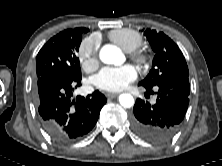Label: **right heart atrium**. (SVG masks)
Here are the masks:
<instances>
[{
  "instance_id": "1",
  "label": "right heart atrium",
  "mask_w": 222,
  "mask_h": 166,
  "mask_svg": "<svg viewBox=\"0 0 222 166\" xmlns=\"http://www.w3.org/2000/svg\"><path fill=\"white\" fill-rule=\"evenodd\" d=\"M99 44L95 37L85 39L78 50V60L81 66L87 70H93L98 66Z\"/></svg>"
}]
</instances>
